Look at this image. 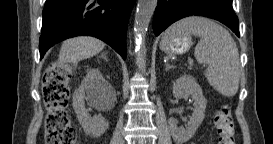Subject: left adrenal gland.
I'll list each match as a JSON object with an SVG mask.
<instances>
[{
	"label": "left adrenal gland",
	"mask_w": 273,
	"mask_h": 144,
	"mask_svg": "<svg viewBox=\"0 0 273 144\" xmlns=\"http://www.w3.org/2000/svg\"><path fill=\"white\" fill-rule=\"evenodd\" d=\"M170 68H172V65L166 63V70H169Z\"/></svg>",
	"instance_id": "1"
}]
</instances>
